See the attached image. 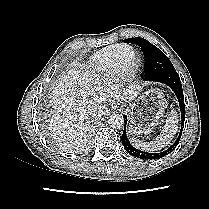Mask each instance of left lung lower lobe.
Wrapping results in <instances>:
<instances>
[{"label":"left lung lower lobe","mask_w":209,"mask_h":209,"mask_svg":"<svg viewBox=\"0 0 209 209\" xmlns=\"http://www.w3.org/2000/svg\"><path fill=\"white\" fill-rule=\"evenodd\" d=\"M150 81L163 83V84L169 86L174 91V93L177 96L179 106H180L181 121H182L181 125L182 126H181V130H180V134H179L178 138L168 149H166L162 152H159V153H147V152H143V151H140V150L134 148L130 144V142L127 139V136H126V129H125L126 125H125L124 126V131H123V134H122V138H121L124 149L130 155H132L134 157L141 158V159H147V160L162 158V157L168 155L169 153H171L176 148V146L178 145V143L180 141V137L182 135L184 120H185V104H184L183 90H182V85H181L179 75L176 72V70L163 72V73L153 77ZM123 117H124V121H125V124H126L127 123V116L124 115Z\"/></svg>","instance_id":"0a47b994"}]
</instances>
